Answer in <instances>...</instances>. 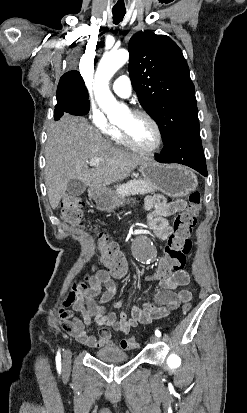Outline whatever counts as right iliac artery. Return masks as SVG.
<instances>
[{"label":"right iliac artery","mask_w":247,"mask_h":413,"mask_svg":"<svg viewBox=\"0 0 247 413\" xmlns=\"http://www.w3.org/2000/svg\"><path fill=\"white\" fill-rule=\"evenodd\" d=\"M56 366H57L58 372L60 373L61 372V355H60V351L57 352Z\"/></svg>","instance_id":"right-iliac-artery-1"}]
</instances>
